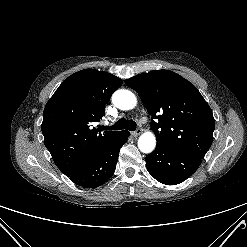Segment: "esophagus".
<instances>
[{"label":"esophagus","instance_id":"1","mask_svg":"<svg viewBox=\"0 0 247 247\" xmlns=\"http://www.w3.org/2000/svg\"><path fill=\"white\" fill-rule=\"evenodd\" d=\"M141 133H142V129L138 128V129H136L134 132H132V135H133L134 137H137V136H139Z\"/></svg>","mask_w":247,"mask_h":247}]
</instances>
